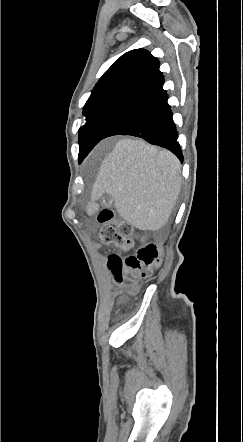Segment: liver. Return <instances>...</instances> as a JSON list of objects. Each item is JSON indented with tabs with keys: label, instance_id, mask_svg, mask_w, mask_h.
Returning <instances> with one entry per match:
<instances>
[{
	"label": "liver",
	"instance_id": "6515ba94",
	"mask_svg": "<svg viewBox=\"0 0 243 442\" xmlns=\"http://www.w3.org/2000/svg\"><path fill=\"white\" fill-rule=\"evenodd\" d=\"M181 180V163L173 153L141 139H121L102 161L87 214H95L96 200L108 193L125 221L139 230H159L176 205Z\"/></svg>",
	"mask_w": 243,
	"mask_h": 442
}]
</instances>
